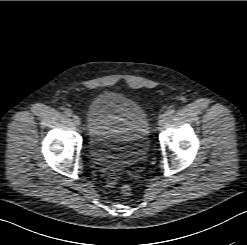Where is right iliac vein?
I'll list each match as a JSON object with an SVG mask.
<instances>
[{
    "label": "right iliac vein",
    "mask_w": 247,
    "mask_h": 245,
    "mask_svg": "<svg viewBox=\"0 0 247 245\" xmlns=\"http://www.w3.org/2000/svg\"><path fill=\"white\" fill-rule=\"evenodd\" d=\"M72 120H73V122L77 125V126H79L80 124H81V120H80V118H79V116H77V115H72Z\"/></svg>",
    "instance_id": "1"
}]
</instances>
